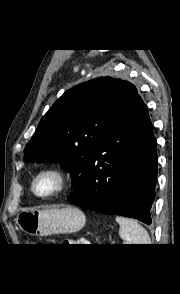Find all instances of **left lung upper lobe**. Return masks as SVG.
Listing matches in <instances>:
<instances>
[{
	"mask_svg": "<svg viewBox=\"0 0 180 294\" xmlns=\"http://www.w3.org/2000/svg\"><path fill=\"white\" fill-rule=\"evenodd\" d=\"M136 87L118 77H99L66 91L42 117L25 147L31 162H60L80 190L103 139L137 97Z\"/></svg>",
	"mask_w": 180,
	"mask_h": 294,
	"instance_id": "5c2ea615",
	"label": "left lung upper lobe"
}]
</instances>
